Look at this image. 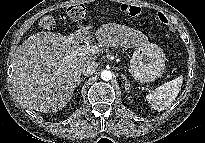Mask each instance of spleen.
<instances>
[{"instance_id": "1", "label": "spleen", "mask_w": 205, "mask_h": 143, "mask_svg": "<svg viewBox=\"0 0 205 143\" xmlns=\"http://www.w3.org/2000/svg\"><path fill=\"white\" fill-rule=\"evenodd\" d=\"M183 83V77L179 76L174 80L164 83L146 96L147 101L157 111H162L175 101Z\"/></svg>"}]
</instances>
